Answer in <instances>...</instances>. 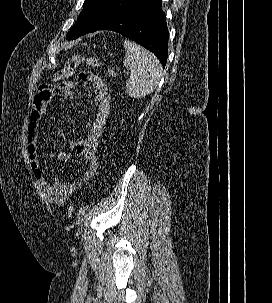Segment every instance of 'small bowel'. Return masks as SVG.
<instances>
[{"label":"small bowel","mask_w":272,"mask_h":303,"mask_svg":"<svg viewBox=\"0 0 272 303\" xmlns=\"http://www.w3.org/2000/svg\"><path fill=\"white\" fill-rule=\"evenodd\" d=\"M79 79L91 84L94 89L95 113L87 137L69 141L66 148L58 151L57 158L61 161L70 160L72 155L67 152V149H71L86 164L83 175L79 179L63 180L56 177L48 181L38 156V130L41 117L55 96L67 100L73 98L74 82L62 81L55 86L40 87L33 101L26 132V148L32 173L47 199L57 206H63L74 191L82 188L96 175L99 166L97 157L99 140L110 113V94L105 81L97 74L86 71L80 73Z\"/></svg>","instance_id":"1"}]
</instances>
